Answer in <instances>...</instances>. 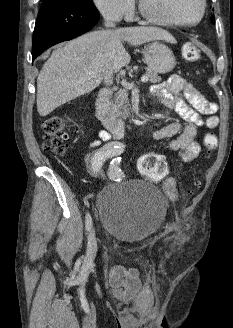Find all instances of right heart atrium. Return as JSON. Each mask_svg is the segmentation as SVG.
I'll return each mask as SVG.
<instances>
[{
	"mask_svg": "<svg viewBox=\"0 0 233 328\" xmlns=\"http://www.w3.org/2000/svg\"><path fill=\"white\" fill-rule=\"evenodd\" d=\"M93 3L104 17L114 21L128 19L134 11V0H93Z\"/></svg>",
	"mask_w": 233,
	"mask_h": 328,
	"instance_id": "1",
	"label": "right heart atrium"
}]
</instances>
